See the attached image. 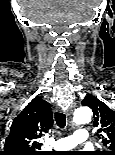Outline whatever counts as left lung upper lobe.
<instances>
[{
    "instance_id": "left-lung-upper-lobe-1",
    "label": "left lung upper lobe",
    "mask_w": 115,
    "mask_h": 155,
    "mask_svg": "<svg viewBox=\"0 0 115 155\" xmlns=\"http://www.w3.org/2000/svg\"><path fill=\"white\" fill-rule=\"evenodd\" d=\"M81 103L92 108L94 126L98 127L96 135L107 148L95 155H115V111L92 95H87Z\"/></svg>"
}]
</instances>
